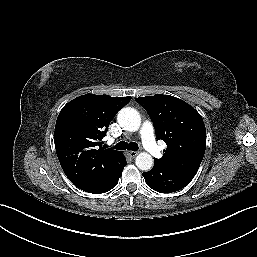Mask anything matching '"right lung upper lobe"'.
I'll return each mask as SVG.
<instances>
[{
  "label": "right lung upper lobe",
  "mask_w": 257,
  "mask_h": 257,
  "mask_svg": "<svg viewBox=\"0 0 257 257\" xmlns=\"http://www.w3.org/2000/svg\"><path fill=\"white\" fill-rule=\"evenodd\" d=\"M131 97L85 94L60 111L54 132L61 167L76 186L94 183L117 166L121 153L100 143L116 113Z\"/></svg>",
  "instance_id": "cb5924a9"
}]
</instances>
